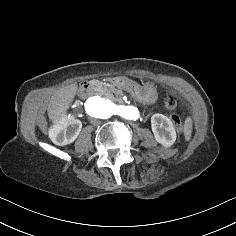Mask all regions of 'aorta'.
<instances>
[{
	"label": "aorta",
	"instance_id": "obj_1",
	"mask_svg": "<svg viewBox=\"0 0 236 236\" xmlns=\"http://www.w3.org/2000/svg\"><path fill=\"white\" fill-rule=\"evenodd\" d=\"M86 114L90 118L108 119L113 115H119L126 120L136 121L140 114L134 106H119L99 96L89 97L84 103Z\"/></svg>",
	"mask_w": 236,
	"mask_h": 236
}]
</instances>
